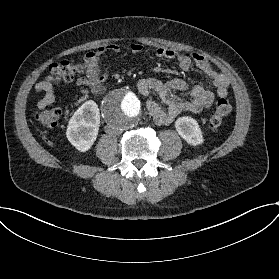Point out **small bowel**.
Listing matches in <instances>:
<instances>
[{
	"mask_svg": "<svg viewBox=\"0 0 279 279\" xmlns=\"http://www.w3.org/2000/svg\"><path fill=\"white\" fill-rule=\"evenodd\" d=\"M141 44L135 43L131 46L134 53L142 50ZM119 51V46L115 43L103 44L94 50L88 51L83 56L84 76L76 80L78 86H85L93 91H98L101 84L109 77L110 67L103 68L100 65L102 58H113ZM156 57L159 59H175L183 70H189L195 64L201 73L209 80L220 98L228 95L229 81L226 76L217 72L198 52H179L173 48L160 47L156 50ZM57 82L53 76H47L44 80L36 84L35 93H43V97L36 103L38 109L46 108L55 101L54 87ZM138 92L148 97L154 92L161 99L164 106L153 99H147L146 109L158 125L171 123L183 112H200L210 107L214 101V93L210 89L200 84H193L181 78H174L163 82L154 77L142 78L137 82ZM175 91H189L190 99L184 101L180 99Z\"/></svg>",
	"mask_w": 279,
	"mask_h": 279,
	"instance_id": "small-bowel-1",
	"label": "small bowel"
}]
</instances>
